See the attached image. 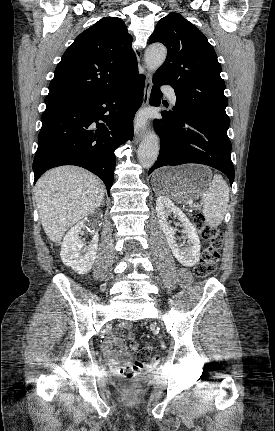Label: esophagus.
<instances>
[{
  "mask_svg": "<svg viewBox=\"0 0 275 431\" xmlns=\"http://www.w3.org/2000/svg\"><path fill=\"white\" fill-rule=\"evenodd\" d=\"M151 88H152V77L151 74L148 73L146 76V81H145V86H144V91H143V100H142V106H146L149 102V98H150V93H151ZM143 131L135 128L134 131V142L135 144H138L141 139L143 138Z\"/></svg>",
  "mask_w": 275,
  "mask_h": 431,
  "instance_id": "obj_1",
  "label": "esophagus"
}]
</instances>
